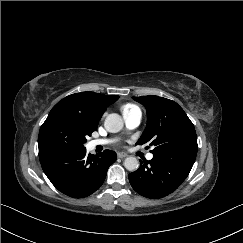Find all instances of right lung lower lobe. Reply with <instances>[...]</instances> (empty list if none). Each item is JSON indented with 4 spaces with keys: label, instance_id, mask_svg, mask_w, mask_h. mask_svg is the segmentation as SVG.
<instances>
[{
    "label": "right lung lower lobe",
    "instance_id": "1",
    "mask_svg": "<svg viewBox=\"0 0 243 243\" xmlns=\"http://www.w3.org/2000/svg\"><path fill=\"white\" fill-rule=\"evenodd\" d=\"M116 158L111 150L94 156L84 149L50 154L40 157V162L44 173L60 192L83 198L100 188Z\"/></svg>",
    "mask_w": 243,
    "mask_h": 243
}]
</instances>
